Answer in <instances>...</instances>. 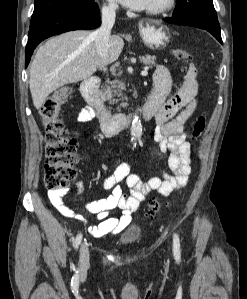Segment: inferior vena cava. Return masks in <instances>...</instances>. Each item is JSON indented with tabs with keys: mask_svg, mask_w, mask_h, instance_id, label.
Returning a JSON list of instances; mask_svg holds the SVG:
<instances>
[{
	"mask_svg": "<svg viewBox=\"0 0 247 299\" xmlns=\"http://www.w3.org/2000/svg\"><path fill=\"white\" fill-rule=\"evenodd\" d=\"M115 10L116 7L114 4L104 6L101 11V26L93 32L95 36L99 68L104 72L107 70L109 38L111 29L115 23Z\"/></svg>",
	"mask_w": 247,
	"mask_h": 299,
	"instance_id": "1",
	"label": "inferior vena cava"
}]
</instances>
